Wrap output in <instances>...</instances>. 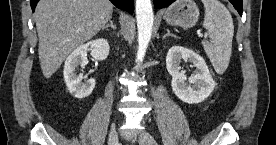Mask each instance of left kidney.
I'll list each match as a JSON object with an SVG mask.
<instances>
[{
  "mask_svg": "<svg viewBox=\"0 0 276 145\" xmlns=\"http://www.w3.org/2000/svg\"><path fill=\"white\" fill-rule=\"evenodd\" d=\"M189 61L196 67L194 74L187 78L181 71V61ZM166 67L172 76V90L183 102L197 104L204 101L212 93L215 82L204 59L195 51L182 46H173L166 57Z\"/></svg>",
  "mask_w": 276,
  "mask_h": 145,
  "instance_id": "left-kidney-1",
  "label": "left kidney"
}]
</instances>
